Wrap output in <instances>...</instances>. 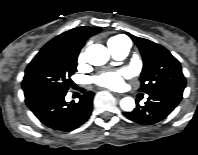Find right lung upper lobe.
<instances>
[{"label": "right lung upper lobe", "mask_w": 198, "mask_h": 155, "mask_svg": "<svg viewBox=\"0 0 198 155\" xmlns=\"http://www.w3.org/2000/svg\"><path fill=\"white\" fill-rule=\"evenodd\" d=\"M101 31L99 27H78L66 31L51 41H49L44 47H66L76 46L82 48L85 41L92 35H95Z\"/></svg>", "instance_id": "obj_1"}]
</instances>
